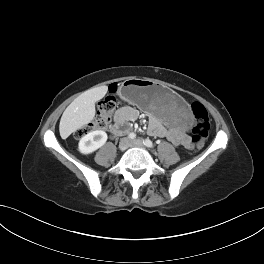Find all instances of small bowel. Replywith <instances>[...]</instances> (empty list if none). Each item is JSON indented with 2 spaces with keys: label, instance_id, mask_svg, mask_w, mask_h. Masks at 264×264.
Wrapping results in <instances>:
<instances>
[{
  "label": "small bowel",
  "instance_id": "c3829d8e",
  "mask_svg": "<svg viewBox=\"0 0 264 264\" xmlns=\"http://www.w3.org/2000/svg\"><path fill=\"white\" fill-rule=\"evenodd\" d=\"M139 112L131 106H123L115 114V122L118 126L127 121H134L138 118ZM148 132L152 136L166 137L175 145L191 147V141L188 135L180 128H166L158 119L152 118L149 122Z\"/></svg>",
  "mask_w": 264,
  "mask_h": 264
}]
</instances>
